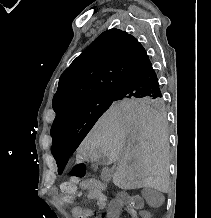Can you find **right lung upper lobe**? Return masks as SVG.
Here are the masks:
<instances>
[{
	"label": "right lung upper lobe",
	"instance_id": "right-lung-upper-lobe-1",
	"mask_svg": "<svg viewBox=\"0 0 211 218\" xmlns=\"http://www.w3.org/2000/svg\"><path fill=\"white\" fill-rule=\"evenodd\" d=\"M147 59L145 49L132 35L118 29L103 32L61 75L52 102L56 118L91 98L117 92Z\"/></svg>",
	"mask_w": 211,
	"mask_h": 218
}]
</instances>
